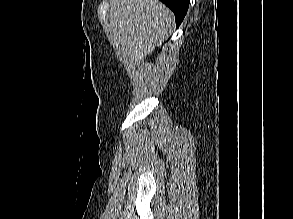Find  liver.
<instances>
[{
  "label": "liver",
  "mask_w": 293,
  "mask_h": 219,
  "mask_svg": "<svg viewBox=\"0 0 293 219\" xmlns=\"http://www.w3.org/2000/svg\"><path fill=\"white\" fill-rule=\"evenodd\" d=\"M109 30L118 55L134 64L150 55L175 18L159 0H112Z\"/></svg>",
  "instance_id": "6515ba94"
}]
</instances>
